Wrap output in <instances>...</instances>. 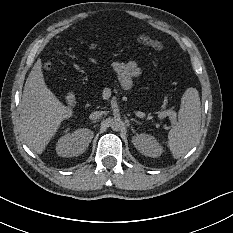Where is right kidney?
<instances>
[{"instance_id":"1","label":"right kidney","mask_w":233,"mask_h":233,"mask_svg":"<svg viewBox=\"0 0 233 233\" xmlns=\"http://www.w3.org/2000/svg\"><path fill=\"white\" fill-rule=\"evenodd\" d=\"M63 136L57 141L55 151L59 156L74 157L85 152L94 133L87 128H80L71 133V127L62 131Z\"/></svg>"}]
</instances>
